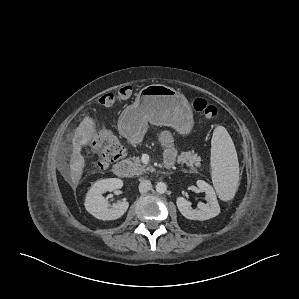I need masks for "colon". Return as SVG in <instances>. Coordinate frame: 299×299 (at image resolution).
<instances>
[{"label": "colon", "instance_id": "1", "mask_svg": "<svg viewBox=\"0 0 299 299\" xmlns=\"http://www.w3.org/2000/svg\"><path fill=\"white\" fill-rule=\"evenodd\" d=\"M131 93L132 88L126 86L116 93H106L102 95L99 102L105 107H111L117 102L128 99ZM193 108L196 112L203 114L207 119H214L218 116V109L202 98L194 100ZM93 144L100 149L98 167L102 170L107 169L125 153L122 145L106 127L98 129L93 137Z\"/></svg>", "mask_w": 299, "mask_h": 299}]
</instances>
